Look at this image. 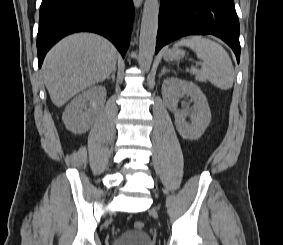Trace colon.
<instances>
[{
    "instance_id": "1",
    "label": "colon",
    "mask_w": 283,
    "mask_h": 245,
    "mask_svg": "<svg viewBox=\"0 0 283 245\" xmlns=\"http://www.w3.org/2000/svg\"><path fill=\"white\" fill-rule=\"evenodd\" d=\"M134 227L137 230H142L144 228V223L142 221H136L134 222Z\"/></svg>"
}]
</instances>
